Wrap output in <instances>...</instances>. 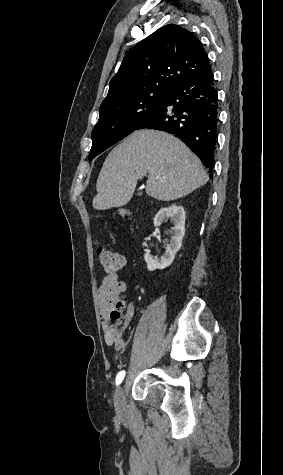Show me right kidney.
<instances>
[{
    "label": "right kidney",
    "mask_w": 283,
    "mask_h": 475,
    "mask_svg": "<svg viewBox=\"0 0 283 475\" xmlns=\"http://www.w3.org/2000/svg\"><path fill=\"white\" fill-rule=\"evenodd\" d=\"M168 218H170L171 222L174 224L173 228H171L173 232L172 239H170V243H168L166 247V253L161 255V257H153V255H150V249H147L146 253H144V259L147 263L149 271L168 267V265L172 263L175 253H177L178 249H180L182 245V239L184 238L185 234L184 208H182V206H177V204H172V206H169V208H162V210H159L158 214H156L154 218L155 226H161V224L166 222ZM142 245H147L146 241H143Z\"/></svg>",
    "instance_id": "obj_1"
}]
</instances>
